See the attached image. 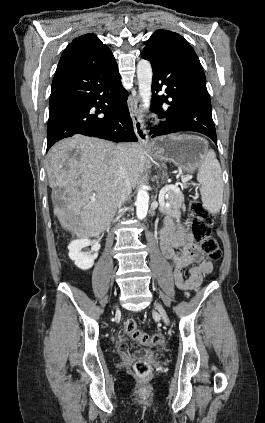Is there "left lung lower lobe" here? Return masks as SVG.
Masks as SVG:
<instances>
[{
	"mask_svg": "<svg viewBox=\"0 0 265 423\" xmlns=\"http://www.w3.org/2000/svg\"><path fill=\"white\" fill-rule=\"evenodd\" d=\"M142 57L152 64V91L158 92L165 87L166 92V95H155L152 101V110L159 118L165 119L151 128L152 138L194 131L208 136L217 144L205 74L189 43L180 35H172L164 46L142 52ZM163 102L171 107L162 108Z\"/></svg>",
	"mask_w": 265,
	"mask_h": 423,
	"instance_id": "1",
	"label": "left lung lower lobe"
}]
</instances>
